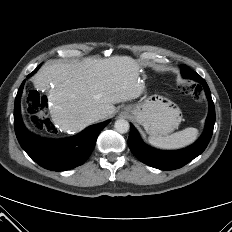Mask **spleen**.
Masks as SVG:
<instances>
[{
	"label": "spleen",
	"mask_w": 232,
	"mask_h": 232,
	"mask_svg": "<svg viewBox=\"0 0 232 232\" xmlns=\"http://www.w3.org/2000/svg\"><path fill=\"white\" fill-rule=\"evenodd\" d=\"M198 135V130L193 127L173 133L168 136H149V143L160 149H180L192 144Z\"/></svg>",
	"instance_id": "obj_1"
}]
</instances>
